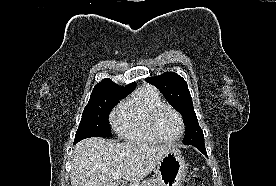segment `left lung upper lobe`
Returning <instances> with one entry per match:
<instances>
[{"label":"left lung upper lobe","mask_w":276,"mask_h":186,"mask_svg":"<svg viewBox=\"0 0 276 186\" xmlns=\"http://www.w3.org/2000/svg\"><path fill=\"white\" fill-rule=\"evenodd\" d=\"M146 81L155 85L168 102L183 116L186 126L184 144L203 143L204 135L193 108V102L186 81L174 72L148 77Z\"/></svg>","instance_id":"left-lung-upper-lobe-1"}]
</instances>
